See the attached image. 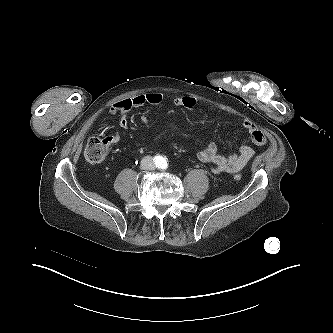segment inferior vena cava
Wrapping results in <instances>:
<instances>
[{
  "instance_id": "602c4592",
  "label": "inferior vena cava",
  "mask_w": 333,
  "mask_h": 333,
  "mask_svg": "<svg viewBox=\"0 0 333 333\" xmlns=\"http://www.w3.org/2000/svg\"><path fill=\"white\" fill-rule=\"evenodd\" d=\"M144 160L148 161V163H150L152 165V158L151 157H149V156L145 157Z\"/></svg>"
}]
</instances>
